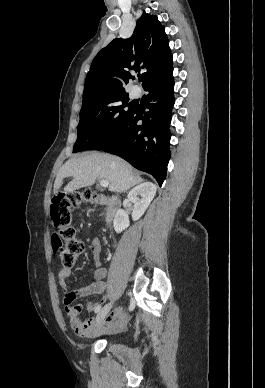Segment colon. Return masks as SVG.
Instances as JSON below:
<instances>
[{"mask_svg":"<svg viewBox=\"0 0 265 388\" xmlns=\"http://www.w3.org/2000/svg\"><path fill=\"white\" fill-rule=\"evenodd\" d=\"M97 195L85 190L82 193L60 192L52 200L50 216L56 229L52 237L53 250L64 267H72L83 250V243L76 238L71 226V211L82 200H94Z\"/></svg>","mask_w":265,"mask_h":388,"instance_id":"1","label":"colon"}]
</instances>
